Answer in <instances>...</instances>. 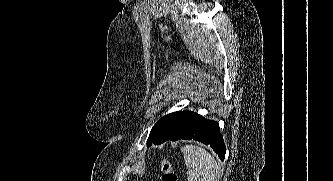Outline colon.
<instances>
[{
    "mask_svg": "<svg viewBox=\"0 0 333 181\" xmlns=\"http://www.w3.org/2000/svg\"><path fill=\"white\" fill-rule=\"evenodd\" d=\"M161 181H178V176L173 170L171 162L168 160L162 163Z\"/></svg>",
    "mask_w": 333,
    "mask_h": 181,
    "instance_id": "1",
    "label": "colon"
}]
</instances>
